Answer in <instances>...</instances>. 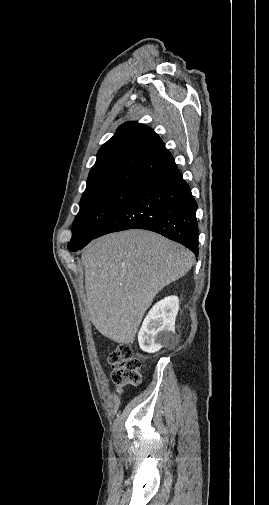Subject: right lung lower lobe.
Segmentation results:
<instances>
[{"label": "right lung lower lobe", "mask_w": 269, "mask_h": 505, "mask_svg": "<svg viewBox=\"0 0 269 505\" xmlns=\"http://www.w3.org/2000/svg\"><path fill=\"white\" fill-rule=\"evenodd\" d=\"M196 210L191 189L173 164L139 187L96 238L127 229H146L183 244L197 256Z\"/></svg>", "instance_id": "1"}]
</instances>
